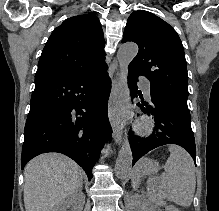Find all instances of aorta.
<instances>
[{"instance_id": "762f6f07", "label": "aorta", "mask_w": 219, "mask_h": 211, "mask_svg": "<svg viewBox=\"0 0 219 211\" xmlns=\"http://www.w3.org/2000/svg\"><path fill=\"white\" fill-rule=\"evenodd\" d=\"M138 53V46L134 43H126L123 44L118 52H117V59L119 62V69H120V99L122 102L121 106V118L123 121H127L130 117V90L128 88V66L134 57ZM132 161L133 155L128 139V135L125 133V136L122 140L121 149L118 153V157L116 159L115 164V174L116 177L124 180L128 178L132 171Z\"/></svg>"}]
</instances>
